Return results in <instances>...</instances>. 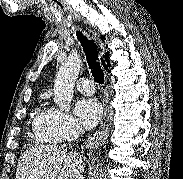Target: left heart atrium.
I'll list each match as a JSON object with an SVG mask.
<instances>
[{"mask_svg":"<svg viewBox=\"0 0 183 179\" xmlns=\"http://www.w3.org/2000/svg\"><path fill=\"white\" fill-rule=\"evenodd\" d=\"M78 123L85 129H91L97 125L102 117V107L96 99L81 98L74 108Z\"/></svg>","mask_w":183,"mask_h":179,"instance_id":"39dd6f15","label":"left heart atrium"}]
</instances>
